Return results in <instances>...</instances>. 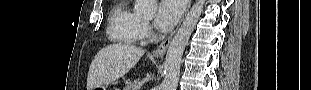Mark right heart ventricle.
<instances>
[{
    "label": "right heart ventricle",
    "instance_id": "right-heart-ventricle-1",
    "mask_svg": "<svg viewBox=\"0 0 311 90\" xmlns=\"http://www.w3.org/2000/svg\"><path fill=\"white\" fill-rule=\"evenodd\" d=\"M140 21L139 15L127 3L121 2L111 12L107 34L114 41L134 44L141 39Z\"/></svg>",
    "mask_w": 311,
    "mask_h": 90
}]
</instances>
